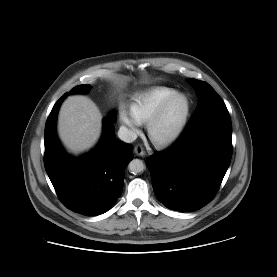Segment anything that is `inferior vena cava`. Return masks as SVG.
<instances>
[{"label": "inferior vena cava", "mask_w": 277, "mask_h": 277, "mask_svg": "<svg viewBox=\"0 0 277 277\" xmlns=\"http://www.w3.org/2000/svg\"><path fill=\"white\" fill-rule=\"evenodd\" d=\"M118 137L126 143H132L136 140L137 135L134 131H132L124 126H121L118 131Z\"/></svg>", "instance_id": "602c4592"}]
</instances>
